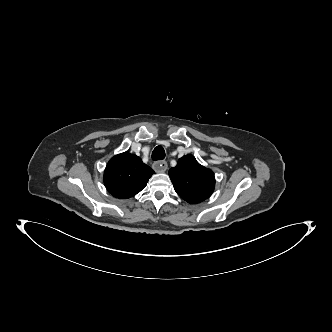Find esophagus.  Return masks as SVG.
I'll return each mask as SVG.
<instances>
[{
	"label": "esophagus",
	"mask_w": 332,
	"mask_h": 332,
	"mask_svg": "<svg viewBox=\"0 0 332 332\" xmlns=\"http://www.w3.org/2000/svg\"><path fill=\"white\" fill-rule=\"evenodd\" d=\"M167 162L166 161H156L153 164V168L156 172H165L167 170Z\"/></svg>",
	"instance_id": "esophagus-1"
}]
</instances>
